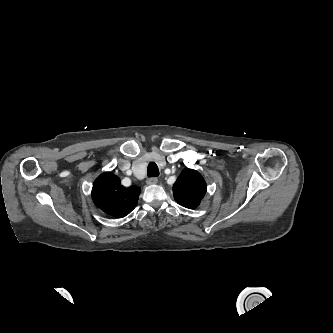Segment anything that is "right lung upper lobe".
I'll use <instances>...</instances> for the list:
<instances>
[{
  "label": "right lung upper lobe",
  "mask_w": 333,
  "mask_h": 333,
  "mask_svg": "<svg viewBox=\"0 0 333 333\" xmlns=\"http://www.w3.org/2000/svg\"><path fill=\"white\" fill-rule=\"evenodd\" d=\"M140 192L138 186L126 188L121 185L119 177L105 172L93 183L92 199L106 214L122 218L135 208Z\"/></svg>",
  "instance_id": "obj_1"
}]
</instances>
